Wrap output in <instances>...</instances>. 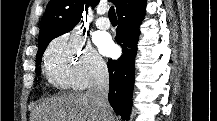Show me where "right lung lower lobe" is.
<instances>
[{"label":"right lung lower lobe","instance_id":"obj_1","mask_svg":"<svg viewBox=\"0 0 217 121\" xmlns=\"http://www.w3.org/2000/svg\"><path fill=\"white\" fill-rule=\"evenodd\" d=\"M146 0H125L124 6L117 12L119 26L116 41L121 45L123 54L118 60H109V102L114 111L127 119L132 105L134 85V59L139 26L144 17Z\"/></svg>","mask_w":217,"mask_h":121}]
</instances>
